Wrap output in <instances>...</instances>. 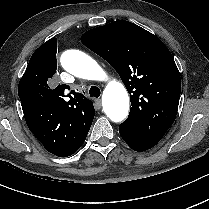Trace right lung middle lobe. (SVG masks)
Returning a JSON list of instances; mask_svg holds the SVG:
<instances>
[{
	"mask_svg": "<svg viewBox=\"0 0 209 209\" xmlns=\"http://www.w3.org/2000/svg\"><path fill=\"white\" fill-rule=\"evenodd\" d=\"M50 78L51 76L44 71V68L38 67L36 71L24 82V87L34 90H43L47 87V82Z\"/></svg>",
	"mask_w": 209,
	"mask_h": 209,
	"instance_id": "1",
	"label": "right lung middle lobe"
}]
</instances>
